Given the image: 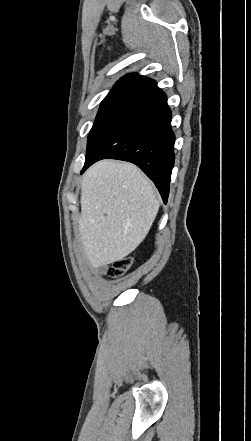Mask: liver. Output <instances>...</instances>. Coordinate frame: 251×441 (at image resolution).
<instances>
[{
  "label": "liver",
  "instance_id": "obj_1",
  "mask_svg": "<svg viewBox=\"0 0 251 441\" xmlns=\"http://www.w3.org/2000/svg\"><path fill=\"white\" fill-rule=\"evenodd\" d=\"M79 235L93 267L121 260L147 236L160 202L152 182L133 164L102 160L81 183Z\"/></svg>",
  "mask_w": 251,
  "mask_h": 441
}]
</instances>
